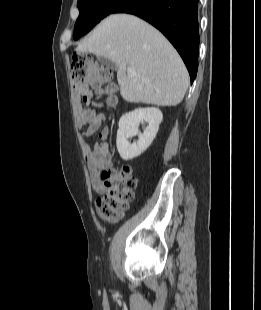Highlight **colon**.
Instances as JSON below:
<instances>
[{
	"mask_svg": "<svg viewBox=\"0 0 261 310\" xmlns=\"http://www.w3.org/2000/svg\"><path fill=\"white\" fill-rule=\"evenodd\" d=\"M71 75L76 84L91 85L106 96L109 106H115V86L112 84V72L99 65L88 53H77L72 57ZM102 181L106 188L104 195L97 200L98 215L105 221H115L121 217L133 198L136 179L132 168L124 166L120 170L109 169L102 173Z\"/></svg>",
	"mask_w": 261,
	"mask_h": 310,
	"instance_id": "obj_1",
	"label": "colon"
}]
</instances>
